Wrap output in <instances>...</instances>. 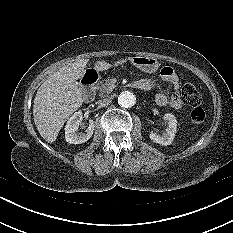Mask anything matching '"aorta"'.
Here are the masks:
<instances>
[{"instance_id":"aorta-1","label":"aorta","mask_w":233,"mask_h":233,"mask_svg":"<svg viewBox=\"0 0 233 233\" xmlns=\"http://www.w3.org/2000/svg\"><path fill=\"white\" fill-rule=\"evenodd\" d=\"M136 103V96L131 91H123L118 96V104L124 108H131Z\"/></svg>"}]
</instances>
